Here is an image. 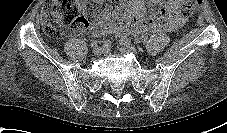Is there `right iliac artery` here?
Wrapping results in <instances>:
<instances>
[{"label": "right iliac artery", "instance_id": "82829eb1", "mask_svg": "<svg viewBox=\"0 0 227 133\" xmlns=\"http://www.w3.org/2000/svg\"><path fill=\"white\" fill-rule=\"evenodd\" d=\"M103 47L106 48V49L109 48L110 47V41L109 40L104 41Z\"/></svg>", "mask_w": 227, "mask_h": 133}]
</instances>
